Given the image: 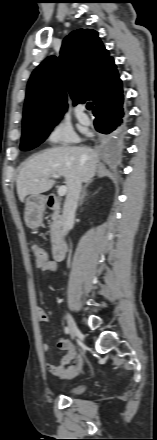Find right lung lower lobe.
Returning a JSON list of instances; mask_svg holds the SVG:
<instances>
[{
	"instance_id": "right-lung-lower-lobe-1",
	"label": "right lung lower lobe",
	"mask_w": 157,
	"mask_h": 440,
	"mask_svg": "<svg viewBox=\"0 0 157 440\" xmlns=\"http://www.w3.org/2000/svg\"><path fill=\"white\" fill-rule=\"evenodd\" d=\"M123 93L110 98L99 109L93 111L95 129L106 137H121L125 131L126 114Z\"/></svg>"
}]
</instances>
